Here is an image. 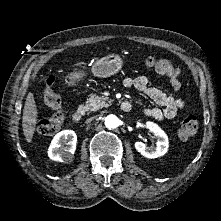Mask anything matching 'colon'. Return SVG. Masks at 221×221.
Here are the masks:
<instances>
[{
  "label": "colon",
  "instance_id": "1",
  "mask_svg": "<svg viewBox=\"0 0 221 221\" xmlns=\"http://www.w3.org/2000/svg\"><path fill=\"white\" fill-rule=\"evenodd\" d=\"M147 64L156 73L169 79H174L179 76L178 66L170 59L150 58L147 61ZM42 95L45 105L53 109L54 112L51 115L45 116L39 120L37 130L42 135H53L60 130L65 120V114L61 109V99L54 89L53 79L46 82ZM197 129L198 121L196 117L188 116L179 126L177 134L179 139L187 140L195 135Z\"/></svg>",
  "mask_w": 221,
  "mask_h": 221
}]
</instances>
